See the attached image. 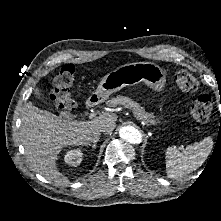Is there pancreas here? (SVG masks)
Masks as SVG:
<instances>
[{
    "label": "pancreas",
    "instance_id": "1",
    "mask_svg": "<svg viewBox=\"0 0 221 221\" xmlns=\"http://www.w3.org/2000/svg\"><path fill=\"white\" fill-rule=\"evenodd\" d=\"M107 105L110 107H117L118 105H122L125 108L132 109L135 117L144 122L146 125H155L156 119L153 113L145 112V109L141 107L138 103L134 102L132 99L125 96H117L107 101Z\"/></svg>",
    "mask_w": 221,
    "mask_h": 221
}]
</instances>
